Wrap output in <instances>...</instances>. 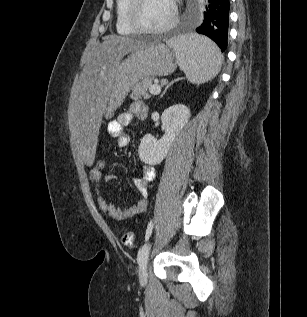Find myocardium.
Returning a JSON list of instances; mask_svg holds the SVG:
<instances>
[{"label": "myocardium", "mask_w": 307, "mask_h": 317, "mask_svg": "<svg viewBox=\"0 0 307 317\" xmlns=\"http://www.w3.org/2000/svg\"><path fill=\"white\" fill-rule=\"evenodd\" d=\"M143 0H129L127 6V21L131 28L137 33L159 35L169 32L178 23L179 11L176 0H170L172 5V16L170 20L159 28H150L143 25L139 19V9L141 7Z\"/></svg>", "instance_id": "myocardium-1"}]
</instances>
